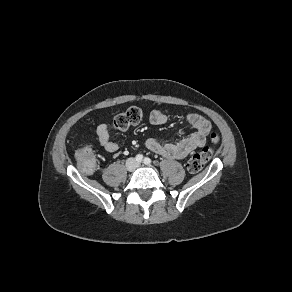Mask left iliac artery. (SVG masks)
<instances>
[{
	"mask_svg": "<svg viewBox=\"0 0 292 292\" xmlns=\"http://www.w3.org/2000/svg\"><path fill=\"white\" fill-rule=\"evenodd\" d=\"M143 162H144V164L149 165L151 163V159L148 157H145Z\"/></svg>",
	"mask_w": 292,
	"mask_h": 292,
	"instance_id": "left-iliac-artery-1",
	"label": "left iliac artery"
}]
</instances>
